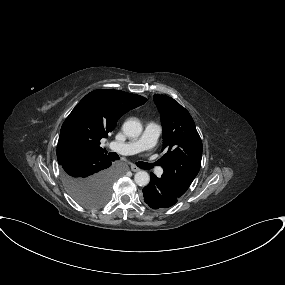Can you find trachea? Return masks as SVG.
Wrapping results in <instances>:
<instances>
[{
  "mask_svg": "<svg viewBox=\"0 0 285 285\" xmlns=\"http://www.w3.org/2000/svg\"><path fill=\"white\" fill-rule=\"evenodd\" d=\"M109 156L115 160H118V154L115 153V152H111L109 153ZM138 167L142 168V169H146V170H149L151 168H153V165L152 163H145V162H138L136 164Z\"/></svg>",
  "mask_w": 285,
  "mask_h": 285,
  "instance_id": "obj_1",
  "label": "trachea"
}]
</instances>
